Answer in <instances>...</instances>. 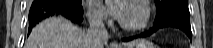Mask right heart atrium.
I'll return each mask as SVG.
<instances>
[{"instance_id": "right-heart-atrium-1", "label": "right heart atrium", "mask_w": 213, "mask_h": 48, "mask_svg": "<svg viewBox=\"0 0 213 48\" xmlns=\"http://www.w3.org/2000/svg\"><path fill=\"white\" fill-rule=\"evenodd\" d=\"M88 18L90 23L96 27L102 26L107 19L105 12L96 2L88 3Z\"/></svg>"}]
</instances>
